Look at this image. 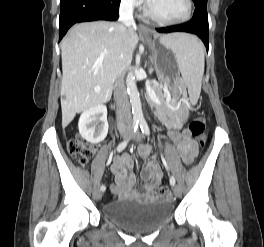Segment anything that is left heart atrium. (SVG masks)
Here are the masks:
<instances>
[{"label":"left heart atrium","mask_w":264,"mask_h":247,"mask_svg":"<svg viewBox=\"0 0 264 247\" xmlns=\"http://www.w3.org/2000/svg\"><path fill=\"white\" fill-rule=\"evenodd\" d=\"M146 2H147L149 5H152V4L155 2V0H146Z\"/></svg>","instance_id":"left-heart-atrium-1"}]
</instances>
